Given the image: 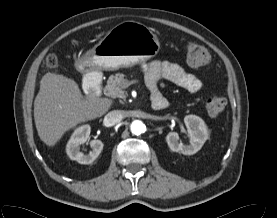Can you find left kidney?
<instances>
[{
    "mask_svg": "<svg viewBox=\"0 0 277 218\" xmlns=\"http://www.w3.org/2000/svg\"><path fill=\"white\" fill-rule=\"evenodd\" d=\"M184 123L188 129L190 144L184 145L179 142V135L176 132L168 133L166 141L172 151L184 155H193L202 148L208 139V128L203 119L196 115L185 116Z\"/></svg>",
    "mask_w": 277,
    "mask_h": 218,
    "instance_id": "left-kidney-1",
    "label": "left kidney"
}]
</instances>
